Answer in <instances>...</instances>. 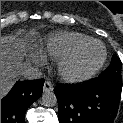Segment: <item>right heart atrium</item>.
<instances>
[{"label": "right heart atrium", "instance_id": "d8ad5b80", "mask_svg": "<svg viewBox=\"0 0 123 123\" xmlns=\"http://www.w3.org/2000/svg\"><path fill=\"white\" fill-rule=\"evenodd\" d=\"M30 60L36 65H42L44 63V57L40 54H32Z\"/></svg>", "mask_w": 123, "mask_h": 123}]
</instances>
